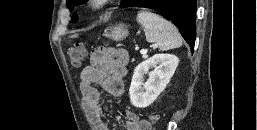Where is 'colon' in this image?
Instances as JSON below:
<instances>
[{
    "label": "colon",
    "instance_id": "1",
    "mask_svg": "<svg viewBox=\"0 0 257 130\" xmlns=\"http://www.w3.org/2000/svg\"><path fill=\"white\" fill-rule=\"evenodd\" d=\"M68 58L73 67L79 68L86 58V49L84 45L77 44L74 47L70 48L68 51ZM160 120V115L151 114L149 121L152 126H155Z\"/></svg>",
    "mask_w": 257,
    "mask_h": 130
}]
</instances>
